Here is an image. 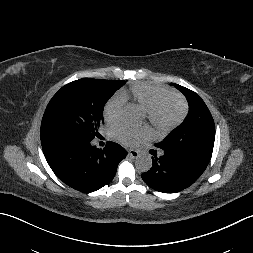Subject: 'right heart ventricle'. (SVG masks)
<instances>
[{"label": "right heart ventricle", "mask_w": 253, "mask_h": 253, "mask_svg": "<svg viewBox=\"0 0 253 253\" xmlns=\"http://www.w3.org/2000/svg\"><path fill=\"white\" fill-rule=\"evenodd\" d=\"M167 93H171L168 88L150 84H135L120 92L125 100L132 99L146 111L159 97Z\"/></svg>", "instance_id": "e07e8e85"}]
</instances>
